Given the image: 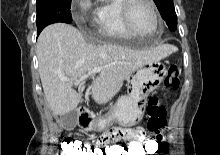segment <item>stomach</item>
<instances>
[{
    "label": "stomach",
    "mask_w": 220,
    "mask_h": 155,
    "mask_svg": "<svg viewBox=\"0 0 220 155\" xmlns=\"http://www.w3.org/2000/svg\"><path fill=\"white\" fill-rule=\"evenodd\" d=\"M166 65L160 61L145 64L129 78L128 94L122 96L110 113L89 123L86 129L107 130L114 122L121 126H134L144 116L148 96L153 93L166 76Z\"/></svg>",
    "instance_id": "stomach-1"
}]
</instances>
